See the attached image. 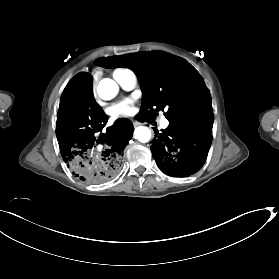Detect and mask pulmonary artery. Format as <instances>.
<instances>
[{
	"label": "pulmonary artery",
	"instance_id": "e3ab8cb5",
	"mask_svg": "<svg viewBox=\"0 0 279 279\" xmlns=\"http://www.w3.org/2000/svg\"><path fill=\"white\" fill-rule=\"evenodd\" d=\"M113 77L118 81L121 88L125 91L134 89L137 83L136 76L131 72L123 75L119 71H114Z\"/></svg>",
	"mask_w": 279,
	"mask_h": 279
}]
</instances>
